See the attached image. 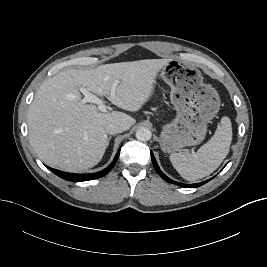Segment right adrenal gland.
I'll list each match as a JSON object with an SVG mask.
<instances>
[{"mask_svg": "<svg viewBox=\"0 0 267 267\" xmlns=\"http://www.w3.org/2000/svg\"><path fill=\"white\" fill-rule=\"evenodd\" d=\"M111 138H112V136H109L108 141H107V146H109Z\"/></svg>", "mask_w": 267, "mask_h": 267, "instance_id": "obj_1", "label": "right adrenal gland"}]
</instances>
